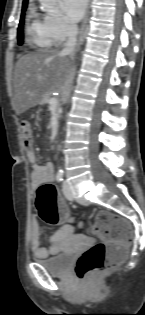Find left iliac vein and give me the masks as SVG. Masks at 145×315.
Instances as JSON below:
<instances>
[{
    "label": "left iliac vein",
    "instance_id": "obj_1",
    "mask_svg": "<svg viewBox=\"0 0 145 315\" xmlns=\"http://www.w3.org/2000/svg\"><path fill=\"white\" fill-rule=\"evenodd\" d=\"M63 193H64V196L66 197V199H68V200L74 199V195H73L71 186L67 181H64V183H63Z\"/></svg>",
    "mask_w": 145,
    "mask_h": 315
}]
</instances>
